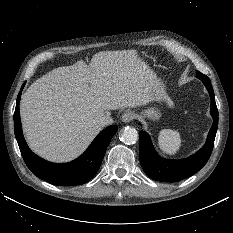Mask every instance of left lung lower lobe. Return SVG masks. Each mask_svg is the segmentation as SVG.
<instances>
[{
    "instance_id": "obj_1",
    "label": "left lung lower lobe",
    "mask_w": 233,
    "mask_h": 233,
    "mask_svg": "<svg viewBox=\"0 0 233 233\" xmlns=\"http://www.w3.org/2000/svg\"><path fill=\"white\" fill-rule=\"evenodd\" d=\"M207 88L211 106L210 113L214 119L205 145L194 155L182 160H167L159 157L155 152L150 136L140 132V163L144 172L153 180L162 182H176L186 179L198 172L208 161L218 127V110L215 103L214 91L210 79L206 75L198 76Z\"/></svg>"
}]
</instances>
